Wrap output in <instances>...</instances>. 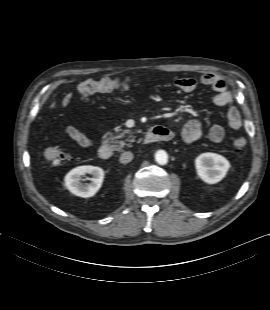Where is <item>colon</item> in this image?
I'll use <instances>...</instances> for the list:
<instances>
[{"label": "colon", "mask_w": 270, "mask_h": 310, "mask_svg": "<svg viewBox=\"0 0 270 310\" xmlns=\"http://www.w3.org/2000/svg\"><path fill=\"white\" fill-rule=\"evenodd\" d=\"M130 84V79L120 78H105L99 82L89 81L81 84L78 87L79 93L86 97L92 91H111L119 88H127ZM232 145L236 151H242L247 145V139L239 136L233 139ZM45 158L52 164H62L70 159L69 154L60 146L49 147L45 151Z\"/></svg>", "instance_id": "obj_1"}]
</instances>
